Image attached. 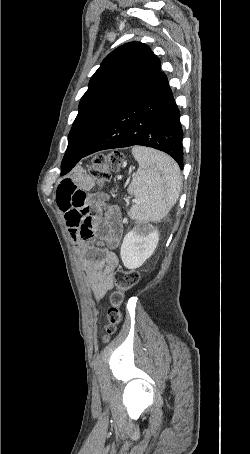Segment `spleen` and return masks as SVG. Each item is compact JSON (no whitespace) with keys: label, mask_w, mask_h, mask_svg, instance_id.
Instances as JSON below:
<instances>
[{"label":"spleen","mask_w":250,"mask_h":454,"mask_svg":"<svg viewBox=\"0 0 250 454\" xmlns=\"http://www.w3.org/2000/svg\"><path fill=\"white\" fill-rule=\"evenodd\" d=\"M132 154L139 169L128 188L136 198L128 216L137 221H160L179 198L180 169L171 157L154 149L134 146Z\"/></svg>","instance_id":"3e777b00"}]
</instances>
